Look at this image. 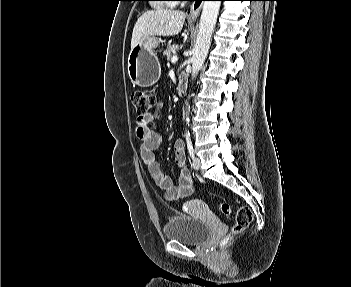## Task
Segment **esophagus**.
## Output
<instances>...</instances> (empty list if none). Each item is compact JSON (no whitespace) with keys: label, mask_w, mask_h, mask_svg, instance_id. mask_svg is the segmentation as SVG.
Masks as SVG:
<instances>
[{"label":"esophagus","mask_w":351,"mask_h":287,"mask_svg":"<svg viewBox=\"0 0 351 287\" xmlns=\"http://www.w3.org/2000/svg\"><path fill=\"white\" fill-rule=\"evenodd\" d=\"M203 5V0H194L191 8H190V13H189V18L190 19H196L201 11Z\"/></svg>","instance_id":"obj_1"}]
</instances>
